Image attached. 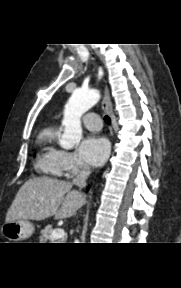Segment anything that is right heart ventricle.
Segmentation results:
<instances>
[{"mask_svg":"<svg viewBox=\"0 0 181 288\" xmlns=\"http://www.w3.org/2000/svg\"><path fill=\"white\" fill-rule=\"evenodd\" d=\"M56 130L52 126L44 128L38 135L39 152L36 166L45 173L56 175L59 169V153L55 146Z\"/></svg>","mask_w":181,"mask_h":288,"instance_id":"obj_1","label":"right heart ventricle"}]
</instances>
